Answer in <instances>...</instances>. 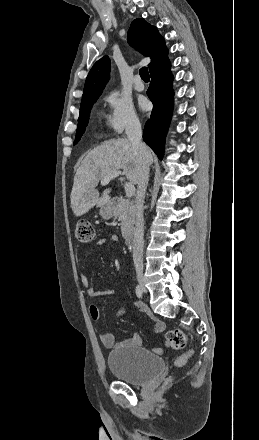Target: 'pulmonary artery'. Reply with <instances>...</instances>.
Returning <instances> with one entry per match:
<instances>
[{
	"instance_id": "pulmonary-artery-1",
	"label": "pulmonary artery",
	"mask_w": 259,
	"mask_h": 440,
	"mask_svg": "<svg viewBox=\"0 0 259 440\" xmlns=\"http://www.w3.org/2000/svg\"><path fill=\"white\" fill-rule=\"evenodd\" d=\"M134 88L137 91H143L144 90V84L140 78L139 75H136L134 78Z\"/></svg>"
}]
</instances>
